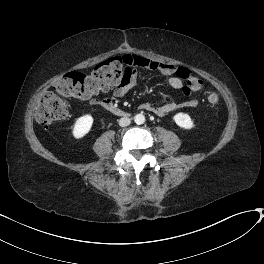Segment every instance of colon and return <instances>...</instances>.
Here are the masks:
<instances>
[{
    "mask_svg": "<svg viewBox=\"0 0 264 264\" xmlns=\"http://www.w3.org/2000/svg\"><path fill=\"white\" fill-rule=\"evenodd\" d=\"M130 64V55L112 57L100 62L87 73L72 71L61 76L42 94L35 111L36 120L44 126L61 120L69 111L65 97H87L111 88L121 80ZM201 86L202 81L199 78L191 77L183 92L191 96L198 92ZM205 95L209 105H218L220 93L215 87L206 85Z\"/></svg>",
    "mask_w": 264,
    "mask_h": 264,
    "instance_id": "obj_1",
    "label": "colon"
}]
</instances>
